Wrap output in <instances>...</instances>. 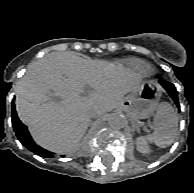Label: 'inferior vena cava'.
<instances>
[{
    "label": "inferior vena cava",
    "instance_id": "1",
    "mask_svg": "<svg viewBox=\"0 0 194 193\" xmlns=\"http://www.w3.org/2000/svg\"><path fill=\"white\" fill-rule=\"evenodd\" d=\"M97 116H98V113H97V112H91V113L89 114V117H90L91 119H95Z\"/></svg>",
    "mask_w": 194,
    "mask_h": 193
}]
</instances>
